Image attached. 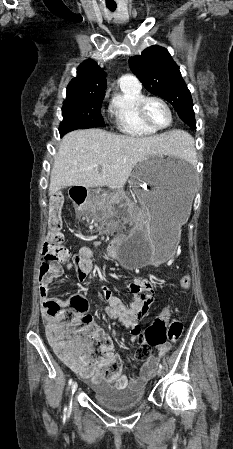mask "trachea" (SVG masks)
I'll list each match as a JSON object with an SVG mask.
<instances>
[{
    "mask_svg": "<svg viewBox=\"0 0 233 449\" xmlns=\"http://www.w3.org/2000/svg\"><path fill=\"white\" fill-rule=\"evenodd\" d=\"M107 8L110 10V11H115V9H116V6H107Z\"/></svg>",
    "mask_w": 233,
    "mask_h": 449,
    "instance_id": "1",
    "label": "trachea"
}]
</instances>
